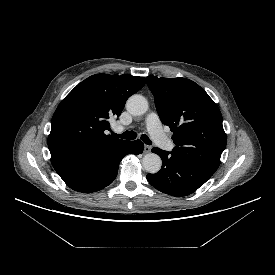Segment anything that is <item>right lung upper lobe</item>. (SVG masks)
<instances>
[{"mask_svg": "<svg viewBox=\"0 0 275 275\" xmlns=\"http://www.w3.org/2000/svg\"><path fill=\"white\" fill-rule=\"evenodd\" d=\"M144 77L96 74L79 83L59 104L51 121L48 148L59 175L96 163L129 141L105 134Z\"/></svg>", "mask_w": 275, "mask_h": 275, "instance_id": "cb5924a9", "label": "right lung upper lobe"}]
</instances>
